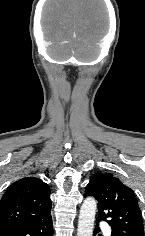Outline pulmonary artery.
Instances as JSON below:
<instances>
[{"mask_svg": "<svg viewBox=\"0 0 145 236\" xmlns=\"http://www.w3.org/2000/svg\"><path fill=\"white\" fill-rule=\"evenodd\" d=\"M103 232L106 236H110L111 235V229L109 227H104L103 228Z\"/></svg>", "mask_w": 145, "mask_h": 236, "instance_id": "obj_1", "label": "pulmonary artery"}]
</instances>
